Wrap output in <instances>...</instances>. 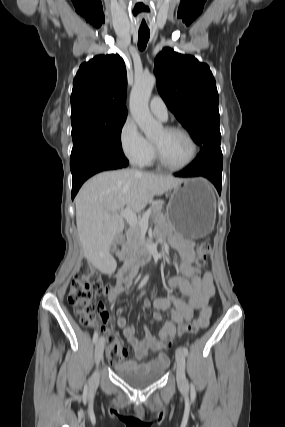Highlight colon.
<instances>
[{"instance_id":"1","label":"colon","mask_w":285,"mask_h":427,"mask_svg":"<svg viewBox=\"0 0 285 427\" xmlns=\"http://www.w3.org/2000/svg\"><path fill=\"white\" fill-rule=\"evenodd\" d=\"M198 266L195 268L200 273V265L204 263L211 255V246L203 242L198 246ZM111 287L106 285L101 279L96 269L86 260L80 262L77 271L73 277L68 294L69 303L75 308L80 318V323L85 327H93L96 323L95 306L93 299L96 296L109 293ZM200 328L199 319L184 324L179 328V334L195 333ZM107 357L116 361L120 357V342L116 335L111 332L107 333ZM171 342H165L169 347Z\"/></svg>"}]
</instances>
